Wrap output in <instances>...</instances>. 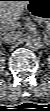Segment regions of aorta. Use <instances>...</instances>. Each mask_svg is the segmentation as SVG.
Wrapping results in <instances>:
<instances>
[{"label": "aorta", "instance_id": "aorta-1", "mask_svg": "<svg viewBox=\"0 0 50 111\" xmlns=\"http://www.w3.org/2000/svg\"><path fill=\"white\" fill-rule=\"evenodd\" d=\"M26 46L32 50H38L42 47L41 37L38 35H30L26 38Z\"/></svg>", "mask_w": 50, "mask_h": 111}]
</instances>
